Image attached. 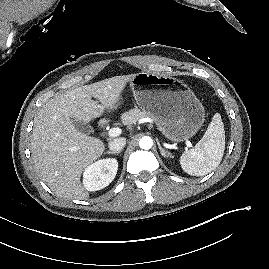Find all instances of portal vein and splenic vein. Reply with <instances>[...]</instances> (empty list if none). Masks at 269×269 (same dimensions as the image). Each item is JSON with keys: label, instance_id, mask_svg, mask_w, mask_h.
Returning <instances> with one entry per match:
<instances>
[{"label": "portal vein and splenic vein", "instance_id": "portal-vein-and-splenic-vein-1", "mask_svg": "<svg viewBox=\"0 0 269 269\" xmlns=\"http://www.w3.org/2000/svg\"><path fill=\"white\" fill-rule=\"evenodd\" d=\"M120 134H121V129L120 128H111L108 131L109 137H116V136H119ZM186 145H187V147H192V144H191L190 141H187Z\"/></svg>", "mask_w": 269, "mask_h": 269}]
</instances>
